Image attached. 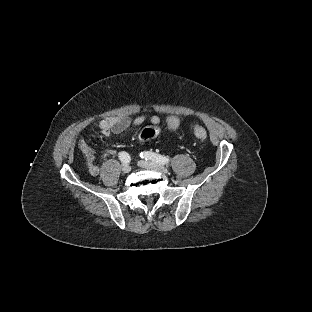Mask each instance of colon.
<instances>
[{"instance_id":"1","label":"colon","mask_w":312,"mask_h":312,"mask_svg":"<svg viewBox=\"0 0 312 312\" xmlns=\"http://www.w3.org/2000/svg\"><path fill=\"white\" fill-rule=\"evenodd\" d=\"M167 125L169 128L174 129L177 127L178 121L176 118L171 117L168 119ZM158 133H159L158 128L153 127V126H148V127L143 128V130H141L140 139H141V141L146 142V141H148V139H151L154 136L158 135ZM195 135L200 140L206 139V134L202 130H195Z\"/></svg>"}]
</instances>
